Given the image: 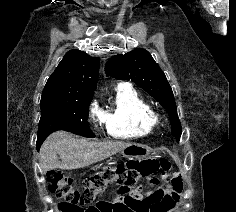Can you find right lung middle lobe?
Listing matches in <instances>:
<instances>
[{"label": "right lung middle lobe", "instance_id": "1", "mask_svg": "<svg viewBox=\"0 0 236 212\" xmlns=\"http://www.w3.org/2000/svg\"><path fill=\"white\" fill-rule=\"evenodd\" d=\"M91 100L92 97L41 100L37 149L39 150L49 134L57 130H66L89 138L95 137L87 121Z\"/></svg>", "mask_w": 236, "mask_h": 212}]
</instances>
